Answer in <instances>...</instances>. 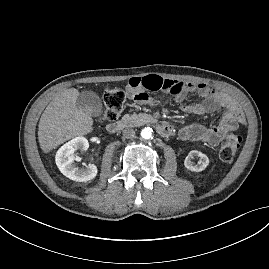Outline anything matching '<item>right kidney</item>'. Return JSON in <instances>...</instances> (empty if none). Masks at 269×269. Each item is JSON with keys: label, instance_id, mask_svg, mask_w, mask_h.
I'll use <instances>...</instances> for the list:
<instances>
[{"label": "right kidney", "instance_id": "right-kidney-1", "mask_svg": "<svg viewBox=\"0 0 269 269\" xmlns=\"http://www.w3.org/2000/svg\"><path fill=\"white\" fill-rule=\"evenodd\" d=\"M89 142L85 137H76L64 144L56 154V165L63 175L71 180L85 182L89 181L97 175V167L94 164H89L86 167L78 168L75 161L78 157L75 156L76 150H87Z\"/></svg>", "mask_w": 269, "mask_h": 269}]
</instances>
